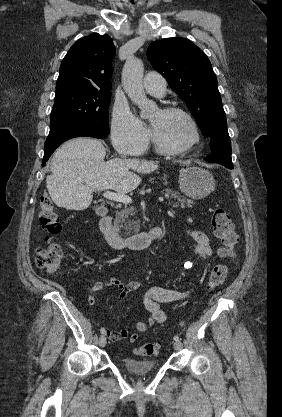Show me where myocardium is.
Masks as SVG:
<instances>
[{"label": "myocardium", "instance_id": "myocardium-1", "mask_svg": "<svg viewBox=\"0 0 282 417\" xmlns=\"http://www.w3.org/2000/svg\"><path fill=\"white\" fill-rule=\"evenodd\" d=\"M160 111L164 114L178 115V116L182 117L186 121V123H187V125L190 129L191 137H190L189 141L186 142L185 144L177 145V146H171V145L165 144L158 137V135L155 133L153 128L150 127V132H151L153 142L159 149H161L162 151H165V152H169V153H179V152H183V151L191 149L192 147H194L199 142L200 137H199V132H198L197 125H196L195 121L193 120V118L187 112H185L181 109H178V108H174V107L163 108Z\"/></svg>", "mask_w": 282, "mask_h": 417}]
</instances>
